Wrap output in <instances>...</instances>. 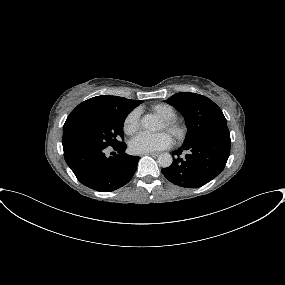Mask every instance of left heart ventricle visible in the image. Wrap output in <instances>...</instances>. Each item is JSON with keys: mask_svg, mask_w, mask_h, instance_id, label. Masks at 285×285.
Listing matches in <instances>:
<instances>
[{"mask_svg": "<svg viewBox=\"0 0 285 285\" xmlns=\"http://www.w3.org/2000/svg\"><path fill=\"white\" fill-rule=\"evenodd\" d=\"M159 130H165L164 125L162 123H160L159 125Z\"/></svg>", "mask_w": 285, "mask_h": 285, "instance_id": "b2bd125f", "label": "left heart ventricle"}]
</instances>
